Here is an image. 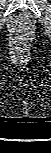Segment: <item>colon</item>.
<instances>
[{"label":"colon","mask_w":51,"mask_h":153,"mask_svg":"<svg viewBox=\"0 0 51 153\" xmlns=\"http://www.w3.org/2000/svg\"><path fill=\"white\" fill-rule=\"evenodd\" d=\"M15 39L17 40V42H19L20 44H24L27 41V36L26 34L23 33H19L16 34Z\"/></svg>","instance_id":"1"}]
</instances>
